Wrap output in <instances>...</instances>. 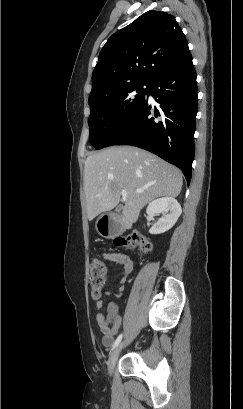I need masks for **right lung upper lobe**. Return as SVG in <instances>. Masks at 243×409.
Wrapping results in <instances>:
<instances>
[{"instance_id":"cb5924a9","label":"right lung upper lobe","mask_w":243,"mask_h":409,"mask_svg":"<svg viewBox=\"0 0 243 409\" xmlns=\"http://www.w3.org/2000/svg\"><path fill=\"white\" fill-rule=\"evenodd\" d=\"M187 48L174 16L144 13L103 46L92 74L89 104L129 84H152Z\"/></svg>"}]
</instances>
